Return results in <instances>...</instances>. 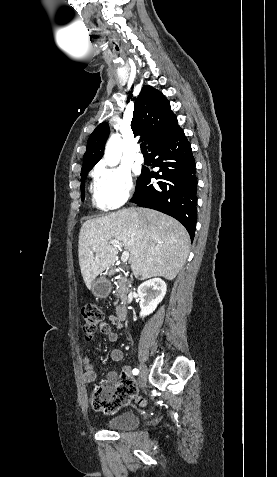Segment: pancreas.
<instances>
[{
    "instance_id": "cf45deb5",
    "label": "pancreas",
    "mask_w": 277,
    "mask_h": 477,
    "mask_svg": "<svg viewBox=\"0 0 277 477\" xmlns=\"http://www.w3.org/2000/svg\"><path fill=\"white\" fill-rule=\"evenodd\" d=\"M117 284L118 286L116 296L120 298L122 302H125L127 299L126 293L128 291L126 280L124 278H121L118 280ZM116 308H119V306H116Z\"/></svg>"
}]
</instances>
